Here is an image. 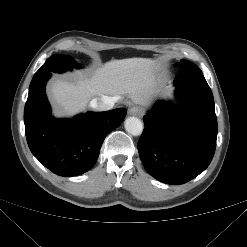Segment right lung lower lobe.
I'll list each match as a JSON object with an SVG mask.
<instances>
[{"mask_svg": "<svg viewBox=\"0 0 247 247\" xmlns=\"http://www.w3.org/2000/svg\"><path fill=\"white\" fill-rule=\"evenodd\" d=\"M51 74L34 75L24 109L25 133L33 155L53 173L69 177L90 170L102 143L124 120L127 110L88 112L71 120L55 119L45 95Z\"/></svg>", "mask_w": 247, "mask_h": 247, "instance_id": "obj_1", "label": "right lung lower lobe"}]
</instances>
